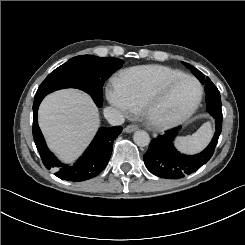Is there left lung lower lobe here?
<instances>
[{
	"label": "left lung lower lobe",
	"mask_w": 245,
	"mask_h": 245,
	"mask_svg": "<svg viewBox=\"0 0 245 245\" xmlns=\"http://www.w3.org/2000/svg\"><path fill=\"white\" fill-rule=\"evenodd\" d=\"M205 84L206 110L216 120V132L205 150L196 155H184L178 152L173 140L179 128H174L152 139L143 159L147 169L154 175L165 179H181L197 171L213 155L219 135L222 131V109L220 93L209 78H198Z\"/></svg>",
	"instance_id": "1"
}]
</instances>
